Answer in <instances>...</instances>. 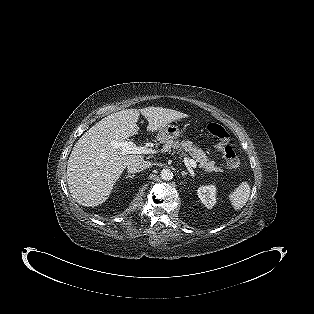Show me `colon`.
I'll use <instances>...</instances> for the list:
<instances>
[{
    "label": "colon",
    "mask_w": 314,
    "mask_h": 314,
    "mask_svg": "<svg viewBox=\"0 0 314 314\" xmlns=\"http://www.w3.org/2000/svg\"><path fill=\"white\" fill-rule=\"evenodd\" d=\"M207 132L216 141V148L223 155L227 165L232 169H238L241 166V161L235 148L229 143L230 136L226 129L218 123H209Z\"/></svg>",
    "instance_id": "1"
}]
</instances>
